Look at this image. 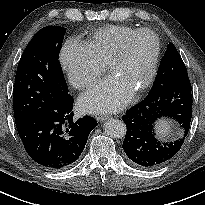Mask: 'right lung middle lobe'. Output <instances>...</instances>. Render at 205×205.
<instances>
[{"label": "right lung middle lobe", "mask_w": 205, "mask_h": 205, "mask_svg": "<svg viewBox=\"0 0 205 205\" xmlns=\"http://www.w3.org/2000/svg\"><path fill=\"white\" fill-rule=\"evenodd\" d=\"M65 32L60 26L44 27L25 48L13 89L16 127L41 107L69 95L58 60Z\"/></svg>", "instance_id": "right-lung-middle-lobe-1"}]
</instances>
